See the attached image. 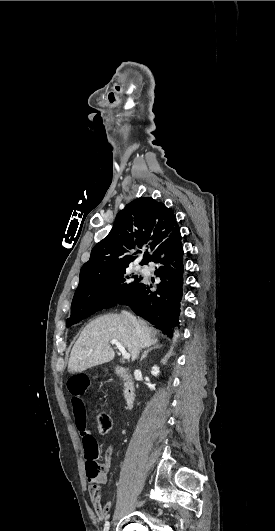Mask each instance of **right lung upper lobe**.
I'll return each mask as SVG.
<instances>
[{
	"mask_svg": "<svg viewBox=\"0 0 275 531\" xmlns=\"http://www.w3.org/2000/svg\"><path fill=\"white\" fill-rule=\"evenodd\" d=\"M179 227L173 212L151 197L127 204L115 219L110 233L91 251L80 271L78 287L98 276L126 268L143 246L149 248L140 265L147 264L169 235ZM136 253L131 254L132 251Z\"/></svg>",
	"mask_w": 275,
	"mask_h": 531,
	"instance_id": "cb5924a9",
	"label": "right lung upper lobe"
}]
</instances>
